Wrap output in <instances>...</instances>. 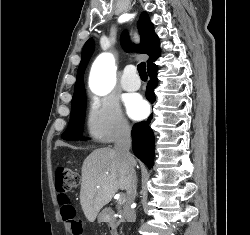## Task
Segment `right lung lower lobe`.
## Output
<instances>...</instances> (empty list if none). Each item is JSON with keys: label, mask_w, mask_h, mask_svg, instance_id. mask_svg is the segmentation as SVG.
Segmentation results:
<instances>
[{"label": "right lung lower lobe", "mask_w": 250, "mask_h": 235, "mask_svg": "<svg viewBox=\"0 0 250 235\" xmlns=\"http://www.w3.org/2000/svg\"><path fill=\"white\" fill-rule=\"evenodd\" d=\"M159 56L160 52L147 64L150 81L147 85L146 96L151 103H154L155 101L154 89L158 85V68L157 65L154 64V61L157 60ZM152 117L151 114L147 121L136 124L132 130L134 154L149 168H152L154 160V134L150 128Z\"/></svg>", "instance_id": "98d812e1"}]
</instances>
